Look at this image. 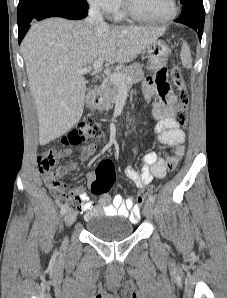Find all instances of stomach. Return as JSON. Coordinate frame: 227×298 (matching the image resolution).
Returning <instances> with one entry per match:
<instances>
[{"label": "stomach", "mask_w": 227, "mask_h": 298, "mask_svg": "<svg viewBox=\"0 0 227 298\" xmlns=\"http://www.w3.org/2000/svg\"><path fill=\"white\" fill-rule=\"evenodd\" d=\"M144 50L147 53V68L150 71H156L167 64L170 50L164 41L157 40L148 45Z\"/></svg>", "instance_id": "1"}]
</instances>
